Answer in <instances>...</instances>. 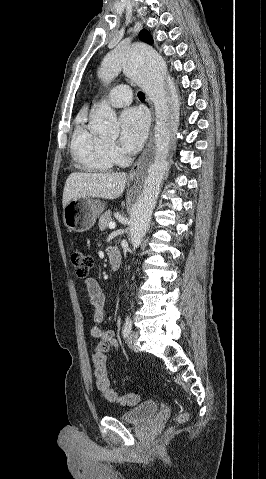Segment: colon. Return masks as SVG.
I'll return each mask as SVG.
<instances>
[{
    "label": "colon",
    "mask_w": 266,
    "mask_h": 479,
    "mask_svg": "<svg viewBox=\"0 0 266 479\" xmlns=\"http://www.w3.org/2000/svg\"><path fill=\"white\" fill-rule=\"evenodd\" d=\"M71 263L79 278H86L92 266V258L81 250H75L70 256ZM108 344L100 342L93 355L94 378L97 389L102 393L103 397L110 403H119L125 406H132L141 400L139 392H130L126 394H118L111 386L107 367ZM188 413L179 412L176 416V422L183 423L187 421Z\"/></svg>",
    "instance_id": "1"
}]
</instances>
